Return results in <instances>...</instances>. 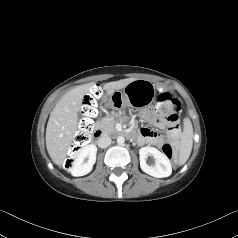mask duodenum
<instances>
[{
  "mask_svg": "<svg viewBox=\"0 0 238 238\" xmlns=\"http://www.w3.org/2000/svg\"><path fill=\"white\" fill-rule=\"evenodd\" d=\"M94 136L95 137H101L103 134H104V131L99 129V128H96L94 129V132H93ZM128 135H132V134H128Z\"/></svg>",
  "mask_w": 238,
  "mask_h": 238,
  "instance_id": "obj_1",
  "label": "duodenum"
}]
</instances>
